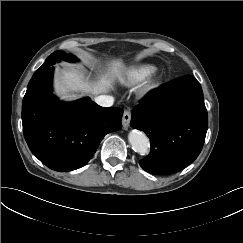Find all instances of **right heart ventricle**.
Segmentation results:
<instances>
[{"mask_svg": "<svg viewBox=\"0 0 243 243\" xmlns=\"http://www.w3.org/2000/svg\"><path fill=\"white\" fill-rule=\"evenodd\" d=\"M155 71V67L151 64H140L129 68L121 78L124 85H133L146 79Z\"/></svg>", "mask_w": 243, "mask_h": 243, "instance_id": "e07e8e85", "label": "right heart ventricle"}]
</instances>
